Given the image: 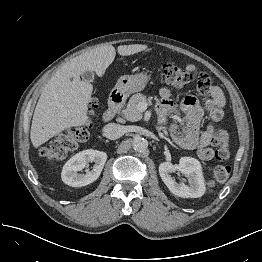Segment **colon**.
Instances as JSON below:
<instances>
[{"label":"colon","mask_w":262,"mask_h":262,"mask_svg":"<svg viewBox=\"0 0 262 262\" xmlns=\"http://www.w3.org/2000/svg\"><path fill=\"white\" fill-rule=\"evenodd\" d=\"M161 77L164 83L173 88H182L192 81V76L180 66L172 63L161 64ZM98 107V101L91 99L89 109L94 111ZM86 128H73L69 132L61 135L52 143L44 146L40 150V155L47 161L53 162L65 159L68 154L78 147L79 142L86 135ZM212 144L216 147V157L219 160L213 167V176L218 182H224L228 179L231 168L222 163L229 159L230 151L225 146L226 137L218 128H213Z\"/></svg>","instance_id":"5ec220e1"}]
</instances>
